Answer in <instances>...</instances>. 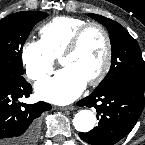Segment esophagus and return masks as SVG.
I'll list each match as a JSON object with an SVG mask.
<instances>
[{"mask_svg":"<svg viewBox=\"0 0 145 145\" xmlns=\"http://www.w3.org/2000/svg\"><path fill=\"white\" fill-rule=\"evenodd\" d=\"M59 109L63 111L74 110L75 106L70 105V106H65V107H59Z\"/></svg>","mask_w":145,"mask_h":145,"instance_id":"esophagus-1","label":"esophagus"}]
</instances>
